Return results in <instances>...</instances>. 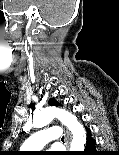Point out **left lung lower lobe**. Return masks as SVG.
Segmentation results:
<instances>
[{
    "label": "left lung lower lobe",
    "mask_w": 119,
    "mask_h": 155,
    "mask_svg": "<svg viewBox=\"0 0 119 155\" xmlns=\"http://www.w3.org/2000/svg\"><path fill=\"white\" fill-rule=\"evenodd\" d=\"M87 130V142L85 151L82 153V155H97L96 153V141L92 137L91 130L89 128H86Z\"/></svg>",
    "instance_id": "1"
}]
</instances>
